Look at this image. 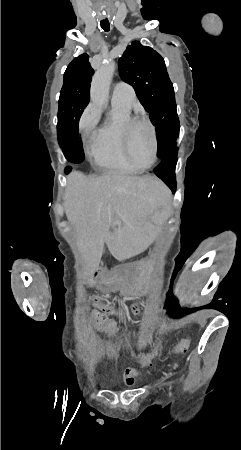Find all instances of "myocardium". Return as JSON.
I'll list each match as a JSON object with an SVG mask.
<instances>
[{"label":"myocardium","mask_w":241,"mask_h":450,"mask_svg":"<svg viewBox=\"0 0 241 450\" xmlns=\"http://www.w3.org/2000/svg\"><path fill=\"white\" fill-rule=\"evenodd\" d=\"M138 119L135 116H130L129 118L125 119L121 125L122 135L119 137V142L121 143L119 145V148L122 149L121 151H122V153L125 154V157H126L125 160L128 163L131 162L132 154L126 149V146L128 144H130L129 137H131V135L134 133L133 130L131 129V127L138 122ZM151 125H152V127L156 128V127H158L159 124H158V122L154 121V122H152ZM148 134L152 135V137L148 138V141H149L148 148L153 149L152 150L153 157L151 160H152V162L155 163V162H157V160H158L157 157L159 156V153H158L159 150L156 145V142H158L159 139H158V137H156L157 133L155 130H149Z\"/></svg>","instance_id":"1"}]
</instances>
